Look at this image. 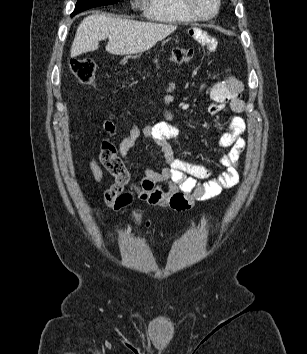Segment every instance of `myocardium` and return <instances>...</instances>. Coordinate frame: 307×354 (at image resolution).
I'll return each instance as SVG.
<instances>
[{"mask_svg": "<svg viewBox=\"0 0 307 354\" xmlns=\"http://www.w3.org/2000/svg\"><path fill=\"white\" fill-rule=\"evenodd\" d=\"M183 4L187 13L190 16H192L195 20L206 21L212 19L217 15L220 9L221 0H215V7L213 11L208 15H203L197 11L194 0H183Z\"/></svg>", "mask_w": 307, "mask_h": 354, "instance_id": "f54148a6", "label": "myocardium"}]
</instances>
